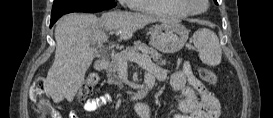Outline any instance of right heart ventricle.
<instances>
[{
  "instance_id": "right-heart-ventricle-1",
  "label": "right heart ventricle",
  "mask_w": 273,
  "mask_h": 118,
  "mask_svg": "<svg viewBox=\"0 0 273 118\" xmlns=\"http://www.w3.org/2000/svg\"><path fill=\"white\" fill-rule=\"evenodd\" d=\"M133 7L141 11L164 16H187V12L179 5L178 0H139L134 2Z\"/></svg>"
}]
</instances>
